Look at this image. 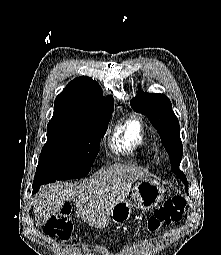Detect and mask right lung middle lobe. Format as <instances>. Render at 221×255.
<instances>
[{
  "label": "right lung middle lobe",
  "instance_id": "1",
  "mask_svg": "<svg viewBox=\"0 0 221 255\" xmlns=\"http://www.w3.org/2000/svg\"><path fill=\"white\" fill-rule=\"evenodd\" d=\"M112 111L96 117L92 126L48 123L34 182L79 179L87 175L107 131Z\"/></svg>",
  "mask_w": 221,
  "mask_h": 255
}]
</instances>
